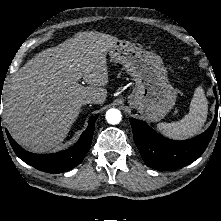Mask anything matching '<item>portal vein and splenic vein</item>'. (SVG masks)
<instances>
[{"mask_svg": "<svg viewBox=\"0 0 221 221\" xmlns=\"http://www.w3.org/2000/svg\"><path fill=\"white\" fill-rule=\"evenodd\" d=\"M77 75L80 77V76H81V73H80V72H78V73H77Z\"/></svg>", "mask_w": 221, "mask_h": 221, "instance_id": "1", "label": "portal vein and splenic vein"}]
</instances>
